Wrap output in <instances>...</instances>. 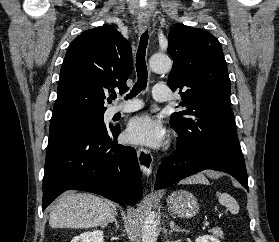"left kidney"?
I'll use <instances>...</instances> for the list:
<instances>
[{
  "mask_svg": "<svg viewBox=\"0 0 279 242\" xmlns=\"http://www.w3.org/2000/svg\"><path fill=\"white\" fill-rule=\"evenodd\" d=\"M195 242H220V241H219V239H217L214 236L203 235V236L198 237Z\"/></svg>",
  "mask_w": 279,
  "mask_h": 242,
  "instance_id": "1",
  "label": "left kidney"
}]
</instances>
